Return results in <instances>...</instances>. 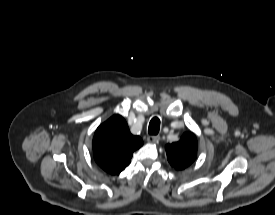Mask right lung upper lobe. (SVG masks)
I'll return each mask as SVG.
<instances>
[{
	"instance_id": "right-lung-upper-lobe-1",
	"label": "right lung upper lobe",
	"mask_w": 275,
	"mask_h": 215,
	"mask_svg": "<svg viewBox=\"0 0 275 215\" xmlns=\"http://www.w3.org/2000/svg\"><path fill=\"white\" fill-rule=\"evenodd\" d=\"M142 145V139L130 133L124 118L114 115L95 131L93 154L103 170L118 174L130 164L133 152Z\"/></svg>"
}]
</instances>
